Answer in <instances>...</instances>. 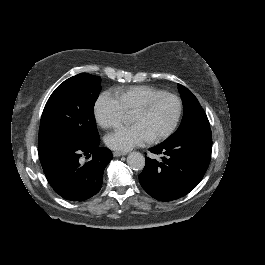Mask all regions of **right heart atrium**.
<instances>
[{"label": "right heart atrium", "mask_w": 265, "mask_h": 265, "mask_svg": "<svg viewBox=\"0 0 265 265\" xmlns=\"http://www.w3.org/2000/svg\"><path fill=\"white\" fill-rule=\"evenodd\" d=\"M93 114L100 127L114 128L121 124L124 113L119 100L113 94L105 92L97 99Z\"/></svg>", "instance_id": "obj_1"}]
</instances>
